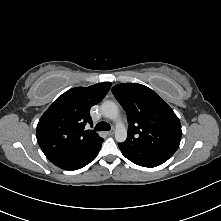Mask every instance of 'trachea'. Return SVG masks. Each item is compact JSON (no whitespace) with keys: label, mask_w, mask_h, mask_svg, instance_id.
I'll return each instance as SVG.
<instances>
[{"label":"trachea","mask_w":221,"mask_h":221,"mask_svg":"<svg viewBox=\"0 0 221 221\" xmlns=\"http://www.w3.org/2000/svg\"><path fill=\"white\" fill-rule=\"evenodd\" d=\"M111 129L110 125L107 122H99L95 126L96 131H109Z\"/></svg>","instance_id":"trachea-1"}]
</instances>
